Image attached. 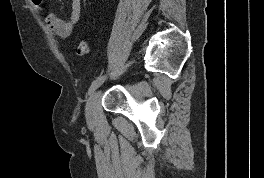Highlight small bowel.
Returning <instances> with one entry per match:
<instances>
[{
	"label": "small bowel",
	"instance_id": "c3829d8e",
	"mask_svg": "<svg viewBox=\"0 0 264 178\" xmlns=\"http://www.w3.org/2000/svg\"><path fill=\"white\" fill-rule=\"evenodd\" d=\"M81 17V0L71 1L70 17L63 19L52 12H45L44 19L49 29L62 38L69 37Z\"/></svg>",
	"mask_w": 264,
	"mask_h": 178
}]
</instances>
